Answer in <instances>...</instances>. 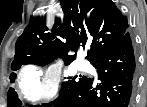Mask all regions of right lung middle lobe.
I'll return each instance as SVG.
<instances>
[{
	"label": "right lung middle lobe",
	"mask_w": 147,
	"mask_h": 107,
	"mask_svg": "<svg viewBox=\"0 0 147 107\" xmlns=\"http://www.w3.org/2000/svg\"><path fill=\"white\" fill-rule=\"evenodd\" d=\"M26 64H36V63L33 61H28L22 65H26ZM22 65L12 66L11 69L18 70ZM15 78H16V74L12 73L10 76L11 82H14ZM75 79H76V77H73L71 80L68 79L63 82L62 88L60 91V95L55 101H53L51 103L43 104V105H35L34 107H50L53 104L58 103L67 94L74 91L86 79V76L79 78V80H75ZM7 99H8V106H12V107H20L21 106V101L18 99L17 93L12 88L8 92Z\"/></svg>",
	"instance_id": "obj_1"
}]
</instances>
